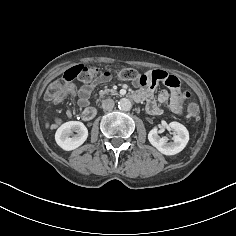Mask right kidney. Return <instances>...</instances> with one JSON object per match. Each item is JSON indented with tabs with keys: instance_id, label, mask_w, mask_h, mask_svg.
Wrapping results in <instances>:
<instances>
[{
	"instance_id": "1",
	"label": "right kidney",
	"mask_w": 236,
	"mask_h": 236,
	"mask_svg": "<svg viewBox=\"0 0 236 236\" xmlns=\"http://www.w3.org/2000/svg\"><path fill=\"white\" fill-rule=\"evenodd\" d=\"M76 132L77 134H73ZM72 136V137H70ZM88 137V130L80 121H69L62 124L55 133L56 143L66 151L81 146Z\"/></svg>"
}]
</instances>
